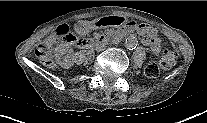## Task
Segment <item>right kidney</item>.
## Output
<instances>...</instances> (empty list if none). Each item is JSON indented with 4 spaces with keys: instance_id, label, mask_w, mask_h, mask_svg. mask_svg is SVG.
Here are the masks:
<instances>
[{
    "instance_id": "obj_1",
    "label": "right kidney",
    "mask_w": 207,
    "mask_h": 123,
    "mask_svg": "<svg viewBox=\"0 0 207 123\" xmlns=\"http://www.w3.org/2000/svg\"><path fill=\"white\" fill-rule=\"evenodd\" d=\"M66 52L67 51L63 45L57 46L55 49V58L56 61L61 65V67L70 68L71 66H73L74 62L71 58V54H67L66 56H64Z\"/></svg>"
}]
</instances>
